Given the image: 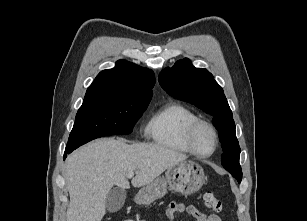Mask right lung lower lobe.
Wrapping results in <instances>:
<instances>
[{"label":"right lung lower lobe","mask_w":307,"mask_h":221,"mask_svg":"<svg viewBox=\"0 0 307 221\" xmlns=\"http://www.w3.org/2000/svg\"><path fill=\"white\" fill-rule=\"evenodd\" d=\"M67 154H69V153H66V152L64 153V158L67 156Z\"/></svg>","instance_id":"1"}]
</instances>
